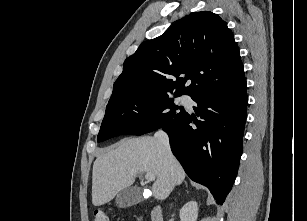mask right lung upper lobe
Segmentation results:
<instances>
[{"label": "right lung upper lobe", "mask_w": 307, "mask_h": 221, "mask_svg": "<svg viewBox=\"0 0 307 221\" xmlns=\"http://www.w3.org/2000/svg\"><path fill=\"white\" fill-rule=\"evenodd\" d=\"M190 79L191 84L184 87ZM239 48L217 14L195 12L143 42L123 64L108 104L147 93L197 97L245 83Z\"/></svg>", "instance_id": "right-lung-upper-lobe-1"}]
</instances>
